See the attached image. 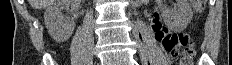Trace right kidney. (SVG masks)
Masks as SVG:
<instances>
[{"mask_svg": "<svg viewBox=\"0 0 232 65\" xmlns=\"http://www.w3.org/2000/svg\"><path fill=\"white\" fill-rule=\"evenodd\" d=\"M72 6L76 11L77 0H55L44 13V22L51 37L57 42L66 41L73 33L75 23L69 17L63 15L62 11Z\"/></svg>", "mask_w": 232, "mask_h": 65, "instance_id": "ca27d5eb", "label": "right kidney"}]
</instances>
